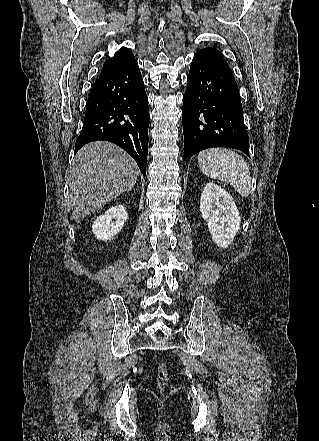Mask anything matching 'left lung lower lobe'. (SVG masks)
<instances>
[{
  "mask_svg": "<svg viewBox=\"0 0 319 441\" xmlns=\"http://www.w3.org/2000/svg\"><path fill=\"white\" fill-rule=\"evenodd\" d=\"M184 159L212 147L249 156L240 93L229 67L203 54L193 57L183 96Z\"/></svg>",
  "mask_w": 319,
  "mask_h": 441,
  "instance_id": "0a47b994",
  "label": "left lung lower lobe"
}]
</instances>
